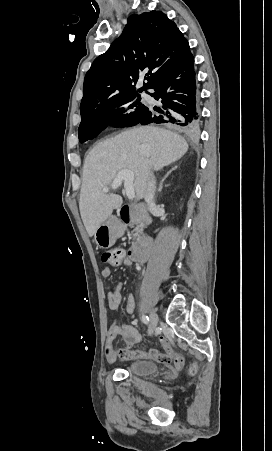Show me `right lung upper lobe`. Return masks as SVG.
<instances>
[{
  "instance_id": "cb5924a9",
  "label": "right lung upper lobe",
  "mask_w": 272,
  "mask_h": 451,
  "mask_svg": "<svg viewBox=\"0 0 272 451\" xmlns=\"http://www.w3.org/2000/svg\"><path fill=\"white\" fill-rule=\"evenodd\" d=\"M188 52V41L163 12L130 15L121 36L94 60L86 73L80 113L111 100L136 95L134 84L143 70L149 69L145 77L148 82L138 92L152 88Z\"/></svg>"
}]
</instances>
